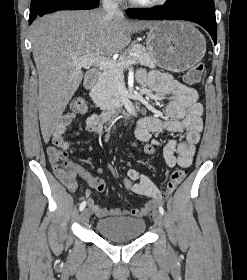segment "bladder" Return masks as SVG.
Returning a JSON list of instances; mask_svg holds the SVG:
<instances>
[{
  "instance_id": "31cf9c89",
  "label": "bladder",
  "mask_w": 247,
  "mask_h": 280,
  "mask_svg": "<svg viewBox=\"0 0 247 280\" xmlns=\"http://www.w3.org/2000/svg\"><path fill=\"white\" fill-rule=\"evenodd\" d=\"M146 229L143 219L132 217H110L96 223L97 233L111 241L123 242L140 238Z\"/></svg>"
}]
</instances>
